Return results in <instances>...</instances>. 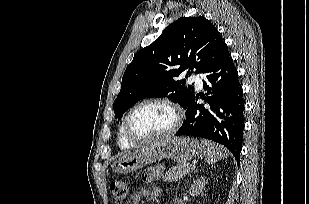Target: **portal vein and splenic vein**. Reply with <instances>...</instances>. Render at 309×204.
<instances>
[{
  "mask_svg": "<svg viewBox=\"0 0 309 204\" xmlns=\"http://www.w3.org/2000/svg\"><path fill=\"white\" fill-rule=\"evenodd\" d=\"M190 167L193 169V168H195V165H192V164H191Z\"/></svg>",
  "mask_w": 309,
  "mask_h": 204,
  "instance_id": "obj_1",
  "label": "portal vein and splenic vein"
}]
</instances>
